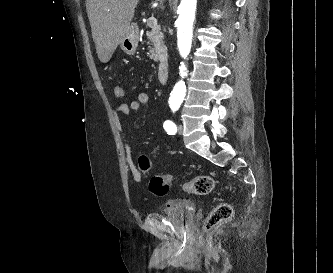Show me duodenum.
Returning a JSON list of instances; mask_svg holds the SVG:
<instances>
[{
    "label": "duodenum",
    "mask_w": 333,
    "mask_h": 273,
    "mask_svg": "<svg viewBox=\"0 0 333 273\" xmlns=\"http://www.w3.org/2000/svg\"><path fill=\"white\" fill-rule=\"evenodd\" d=\"M169 70L170 66L168 60L165 58L161 59L158 67V79L161 84H165L167 82Z\"/></svg>",
    "instance_id": "1"
}]
</instances>
